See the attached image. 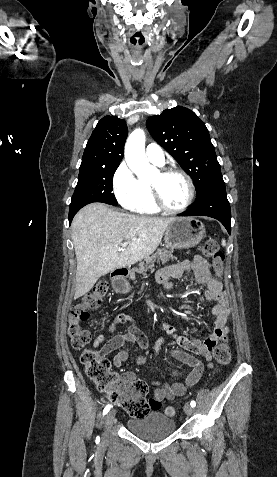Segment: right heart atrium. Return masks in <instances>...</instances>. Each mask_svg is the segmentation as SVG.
<instances>
[{"label":"right heart atrium","instance_id":"right-heart-atrium-1","mask_svg":"<svg viewBox=\"0 0 277 477\" xmlns=\"http://www.w3.org/2000/svg\"><path fill=\"white\" fill-rule=\"evenodd\" d=\"M112 185L120 205L132 209L140 198V181L125 162L115 170Z\"/></svg>","mask_w":277,"mask_h":477}]
</instances>
